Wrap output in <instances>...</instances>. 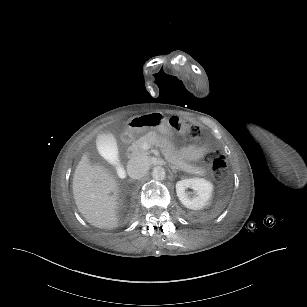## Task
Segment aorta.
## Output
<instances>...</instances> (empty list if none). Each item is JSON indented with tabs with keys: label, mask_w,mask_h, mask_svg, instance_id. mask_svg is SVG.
I'll return each instance as SVG.
<instances>
[{
	"label": "aorta",
	"mask_w": 307,
	"mask_h": 307,
	"mask_svg": "<svg viewBox=\"0 0 307 307\" xmlns=\"http://www.w3.org/2000/svg\"><path fill=\"white\" fill-rule=\"evenodd\" d=\"M166 176L165 169L161 166H156L153 168L152 177L155 180H164Z\"/></svg>",
	"instance_id": "1"
}]
</instances>
